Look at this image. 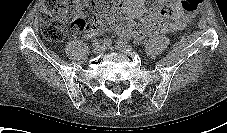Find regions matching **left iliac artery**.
<instances>
[{"label": "left iliac artery", "mask_w": 227, "mask_h": 133, "mask_svg": "<svg viewBox=\"0 0 227 133\" xmlns=\"http://www.w3.org/2000/svg\"><path fill=\"white\" fill-rule=\"evenodd\" d=\"M128 42V39L125 38V37H121L118 39V42L117 43H127Z\"/></svg>", "instance_id": "1"}]
</instances>
